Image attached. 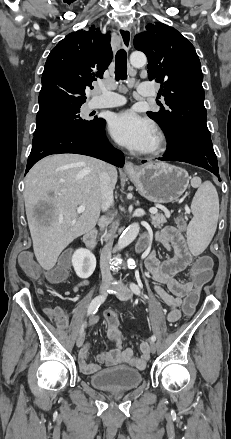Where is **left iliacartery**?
<instances>
[{"label":"left iliac artery","mask_w":231,"mask_h":439,"mask_svg":"<svg viewBox=\"0 0 231 439\" xmlns=\"http://www.w3.org/2000/svg\"><path fill=\"white\" fill-rule=\"evenodd\" d=\"M130 288H131V290L133 291L134 294H136V295H140L141 294V290H140V288H139V286L137 284L130 283ZM150 339H151L152 342H155V340H156L155 335H152Z\"/></svg>","instance_id":"1"}]
</instances>
